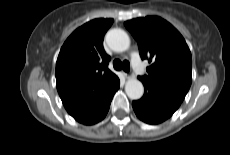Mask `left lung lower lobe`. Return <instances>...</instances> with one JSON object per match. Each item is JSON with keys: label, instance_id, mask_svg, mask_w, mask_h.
<instances>
[{"label": "left lung lower lobe", "instance_id": "0a47b994", "mask_svg": "<svg viewBox=\"0 0 230 155\" xmlns=\"http://www.w3.org/2000/svg\"><path fill=\"white\" fill-rule=\"evenodd\" d=\"M141 81L144 85V95L140 100L132 102L137 117L148 124H159L170 118L182 102Z\"/></svg>", "mask_w": 230, "mask_h": 155}]
</instances>
